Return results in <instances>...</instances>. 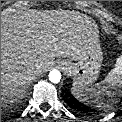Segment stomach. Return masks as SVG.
Wrapping results in <instances>:
<instances>
[{"label": "stomach", "instance_id": "obj_1", "mask_svg": "<svg viewBox=\"0 0 122 122\" xmlns=\"http://www.w3.org/2000/svg\"><path fill=\"white\" fill-rule=\"evenodd\" d=\"M102 59L101 49L93 48L86 51L76 62L62 60L59 65L64 72L73 77L74 86L84 89L93 84L98 78Z\"/></svg>", "mask_w": 122, "mask_h": 122}]
</instances>
